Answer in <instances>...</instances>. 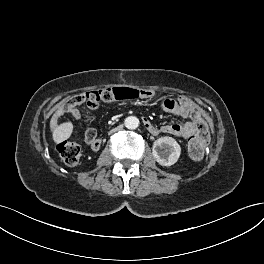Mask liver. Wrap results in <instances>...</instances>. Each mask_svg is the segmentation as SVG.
Segmentation results:
<instances>
[{"label":"liver","mask_w":264,"mask_h":264,"mask_svg":"<svg viewBox=\"0 0 264 264\" xmlns=\"http://www.w3.org/2000/svg\"><path fill=\"white\" fill-rule=\"evenodd\" d=\"M73 126L70 122L57 125L53 131V140L55 143H61L62 141L68 139L72 133Z\"/></svg>","instance_id":"6515ba94"}]
</instances>
